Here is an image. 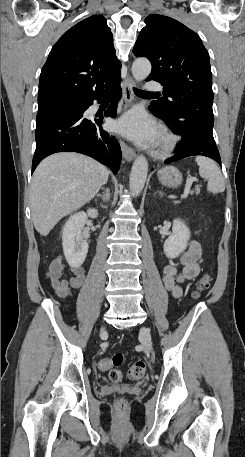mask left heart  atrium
<instances>
[{"mask_svg": "<svg viewBox=\"0 0 245 457\" xmlns=\"http://www.w3.org/2000/svg\"><path fill=\"white\" fill-rule=\"evenodd\" d=\"M116 129L138 142L154 141L158 136L156 125L141 111L126 114L116 123Z\"/></svg>", "mask_w": 245, "mask_h": 457, "instance_id": "obj_1", "label": "left heart atrium"}]
</instances>
